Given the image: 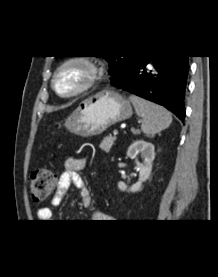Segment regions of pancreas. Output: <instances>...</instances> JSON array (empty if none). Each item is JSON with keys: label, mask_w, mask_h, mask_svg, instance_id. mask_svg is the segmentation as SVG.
<instances>
[{"label": "pancreas", "mask_w": 218, "mask_h": 277, "mask_svg": "<svg viewBox=\"0 0 218 277\" xmlns=\"http://www.w3.org/2000/svg\"><path fill=\"white\" fill-rule=\"evenodd\" d=\"M115 141H116L115 136H107L102 140L99 147L104 152H109Z\"/></svg>", "instance_id": "pancreas-1"}]
</instances>
